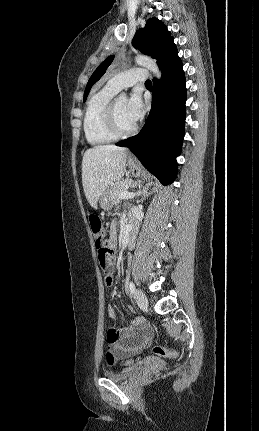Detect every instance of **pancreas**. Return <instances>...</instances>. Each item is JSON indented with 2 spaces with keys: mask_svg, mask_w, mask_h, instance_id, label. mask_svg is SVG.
I'll return each mask as SVG.
<instances>
[{
  "mask_svg": "<svg viewBox=\"0 0 259 431\" xmlns=\"http://www.w3.org/2000/svg\"><path fill=\"white\" fill-rule=\"evenodd\" d=\"M135 183L131 179H121L110 188V198L113 204H117L121 197L119 193L125 191L127 186H134Z\"/></svg>",
  "mask_w": 259,
  "mask_h": 431,
  "instance_id": "obj_1",
  "label": "pancreas"
}]
</instances>
